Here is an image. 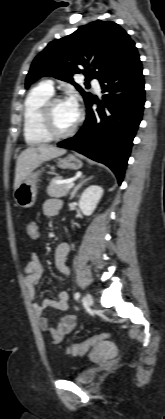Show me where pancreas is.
<instances>
[{"label": "pancreas", "instance_id": "cf45deb5", "mask_svg": "<svg viewBox=\"0 0 165 419\" xmlns=\"http://www.w3.org/2000/svg\"><path fill=\"white\" fill-rule=\"evenodd\" d=\"M62 180L61 176H56L51 179L49 186L47 187V194L50 197H63L66 196L69 192V189L66 188L65 184H57V181Z\"/></svg>", "mask_w": 165, "mask_h": 419}]
</instances>
